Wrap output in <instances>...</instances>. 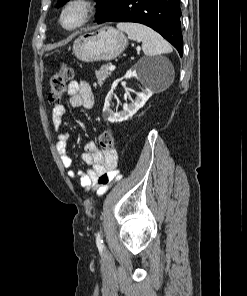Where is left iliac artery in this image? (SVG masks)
<instances>
[{"label":"left iliac artery","instance_id":"obj_1","mask_svg":"<svg viewBox=\"0 0 247 296\" xmlns=\"http://www.w3.org/2000/svg\"><path fill=\"white\" fill-rule=\"evenodd\" d=\"M96 243L98 247H102L103 246V241L101 239V232H98L96 234Z\"/></svg>","mask_w":247,"mask_h":296}]
</instances>
